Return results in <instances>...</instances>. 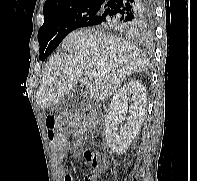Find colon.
<instances>
[{"instance_id":"colon-1","label":"colon","mask_w":197,"mask_h":181,"mask_svg":"<svg viewBox=\"0 0 197 181\" xmlns=\"http://www.w3.org/2000/svg\"><path fill=\"white\" fill-rule=\"evenodd\" d=\"M47 136L54 149H59L62 146L63 138L59 133L62 129H68L72 135L82 134L85 130V123L83 118L79 115H52L46 120ZM84 158L94 168H102L105 165V157L103 155H97L90 151L84 153ZM94 172L87 171L84 174L83 181H93Z\"/></svg>"}]
</instances>
